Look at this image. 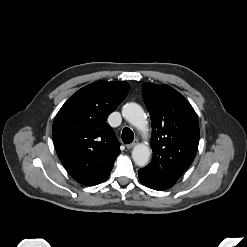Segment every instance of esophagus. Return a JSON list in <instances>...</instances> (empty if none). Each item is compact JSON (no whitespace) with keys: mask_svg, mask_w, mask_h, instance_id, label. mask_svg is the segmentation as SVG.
I'll return each instance as SVG.
<instances>
[{"mask_svg":"<svg viewBox=\"0 0 247 247\" xmlns=\"http://www.w3.org/2000/svg\"><path fill=\"white\" fill-rule=\"evenodd\" d=\"M139 143V141L137 139H135L131 144L126 145L127 149H132L133 147H135L137 144Z\"/></svg>","mask_w":247,"mask_h":247,"instance_id":"obj_1","label":"esophagus"}]
</instances>
